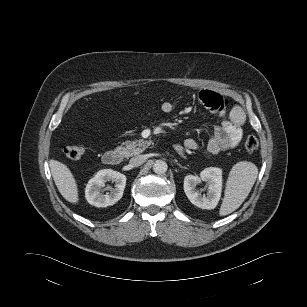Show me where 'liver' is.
<instances>
[{
	"label": "liver",
	"mask_w": 307,
	"mask_h": 307,
	"mask_svg": "<svg viewBox=\"0 0 307 307\" xmlns=\"http://www.w3.org/2000/svg\"><path fill=\"white\" fill-rule=\"evenodd\" d=\"M49 166L54 182L61 195L70 203L77 204L79 201L76 180L70 169L57 160H50Z\"/></svg>",
	"instance_id": "liver-1"
}]
</instances>
